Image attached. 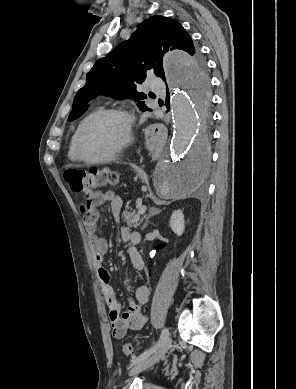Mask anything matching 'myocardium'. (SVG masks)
I'll return each mask as SVG.
<instances>
[{"instance_id": "myocardium-1", "label": "myocardium", "mask_w": 296, "mask_h": 389, "mask_svg": "<svg viewBox=\"0 0 296 389\" xmlns=\"http://www.w3.org/2000/svg\"><path fill=\"white\" fill-rule=\"evenodd\" d=\"M108 115L119 116L125 121V126H126L125 137L117 147H115L107 154L96 158H90L84 154L82 148V140H83L84 133L94 121ZM132 140H133V119L131 115L127 111L120 108H105L96 111L82 123L76 135L75 150L80 160L87 163H101L110 160L112 158H115L116 156L121 154L131 144Z\"/></svg>"}]
</instances>
